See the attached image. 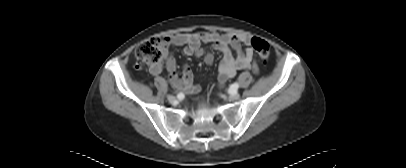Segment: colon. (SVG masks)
I'll return each mask as SVG.
<instances>
[{
    "instance_id": "colon-1",
    "label": "colon",
    "mask_w": 406,
    "mask_h": 168,
    "mask_svg": "<svg viewBox=\"0 0 406 168\" xmlns=\"http://www.w3.org/2000/svg\"><path fill=\"white\" fill-rule=\"evenodd\" d=\"M250 44L254 51L267 62L270 47L267 41L260 37H252ZM169 40L165 37H152L141 43L135 51L136 57L148 65H158L166 60L168 56Z\"/></svg>"
}]
</instances>
